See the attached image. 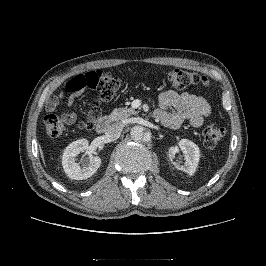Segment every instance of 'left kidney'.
<instances>
[{"mask_svg":"<svg viewBox=\"0 0 266 266\" xmlns=\"http://www.w3.org/2000/svg\"><path fill=\"white\" fill-rule=\"evenodd\" d=\"M179 148L183 151L185 163L184 165H180L178 163H174L173 165L177 170H181L188 175L192 176L199 163L200 159V150L198 146L188 139H181L178 143ZM175 148L170 147L169 149V157L171 159V154L174 153Z\"/></svg>","mask_w":266,"mask_h":266,"instance_id":"5707ae66","label":"left kidney"}]
</instances>
